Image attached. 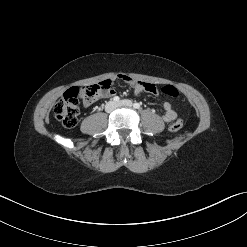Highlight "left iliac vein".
I'll use <instances>...</instances> for the list:
<instances>
[{
    "mask_svg": "<svg viewBox=\"0 0 247 247\" xmlns=\"http://www.w3.org/2000/svg\"><path fill=\"white\" fill-rule=\"evenodd\" d=\"M117 106H126V107H132L133 104L130 100L125 99V100H121L120 102L117 103Z\"/></svg>",
    "mask_w": 247,
    "mask_h": 247,
    "instance_id": "left-iliac-vein-1",
    "label": "left iliac vein"
}]
</instances>
